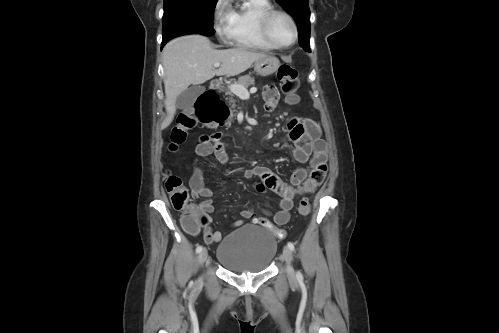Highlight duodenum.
Returning <instances> with one entry per match:
<instances>
[{"mask_svg": "<svg viewBox=\"0 0 499 333\" xmlns=\"http://www.w3.org/2000/svg\"><path fill=\"white\" fill-rule=\"evenodd\" d=\"M217 89V83H213L210 86V89L205 92L202 96L199 97L197 101V114L201 118H212L215 115V107L214 104L210 103L207 100L208 92H215Z\"/></svg>", "mask_w": 499, "mask_h": 333, "instance_id": "obj_1", "label": "duodenum"}]
</instances>
